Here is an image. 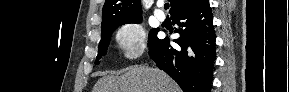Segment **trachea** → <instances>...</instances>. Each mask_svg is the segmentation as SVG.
Returning <instances> with one entry per match:
<instances>
[{
    "label": "trachea",
    "mask_w": 289,
    "mask_h": 92,
    "mask_svg": "<svg viewBox=\"0 0 289 92\" xmlns=\"http://www.w3.org/2000/svg\"><path fill=\"white\" fill-rule=\"evenodd\" d=\"M164 8H165V9H168V8H169V3H166V4L164 5Z\"/></svg>",
    "instance_id": "1"
}]
</instances>
